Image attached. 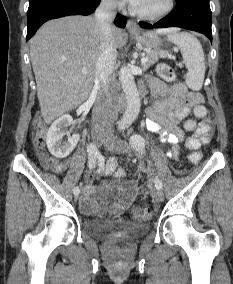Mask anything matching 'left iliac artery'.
Instances as JSON below:
<instances>
[{
	"label": "left iliac artery",
	"mask_w": 233,
	"mask_h": 284,
	"mask_svg": "<svg viewBox=\"0 0 233 284\" xmlns=\"http://www.w3.org/2000/svg\"><path fill=\"white\" fill-rule=\"evenodd\" d=\"M129 143L134 150L141 153L145 147V140L140 135H132L129 139ZM154 183L157 189H162L163 185L158 177H155Z\"/></svg>",
	"instance_id": "1"
}]
</instances>
